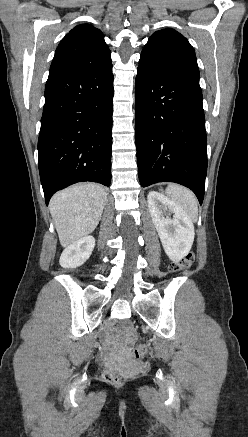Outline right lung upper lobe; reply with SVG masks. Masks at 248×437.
Wrapping results in <instances>:
<instances>
[{"instance_id": "right-lung-upper-lobe-1", "label": "right lung upper lobe", "mask_w": 248, "mask_h": 437, "mask_svg": "<svg viewBox=\"0 0 248 437\" xmlns=\"http://www.w3.org/2000/svg\"><path fill=\"white\" fill-rule=\"evenodd\" d=\"M110 62L111 53L103 33L83 24L74 27L62 39L55 51L50 73L88 72Z\"/></svg>"}]
</instances>
